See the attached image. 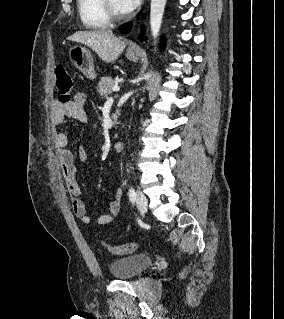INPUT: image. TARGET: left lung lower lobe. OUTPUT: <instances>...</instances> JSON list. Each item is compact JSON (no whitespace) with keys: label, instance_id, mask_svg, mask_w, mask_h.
<instances>
[{"label":"left lung lower lobe","instance_id":"0a47b994","mask_svg":"<svg viewBox=\"0 0 284 319\" xmlns=\"http://www.w3.org/2000/svg\"><path fill=\"white\" fill-rule=\"evenodd\" d=\"M131 26H132V23H127V24L120 27V31L123 33H128L131 30ZM141 39L144 40L145 36L142 35Z\"/></svg>","mask_w":284,"mask_h":319}]
</instances>
